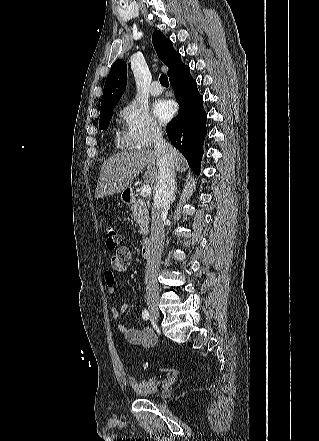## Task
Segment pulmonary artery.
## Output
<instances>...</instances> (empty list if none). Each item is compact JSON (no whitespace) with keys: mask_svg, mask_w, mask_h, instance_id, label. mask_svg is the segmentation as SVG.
Here are the masks:
<instances>
[{"mask_svg":"<svg viewBox=\"0 0 319 441\" xmlns=\"http://www.w3.org/2000/svg\"><path fill=\"white\" fill-rule=\"evenodd\" d=\"M163 92L162 87L160 86L159 82L154 81L150 87V93L154 96H158Z\"/></svg>","mask_w":319,"mask_h":441,"instance_id":"1","label":"pulmonary artery"}]
</instances>
